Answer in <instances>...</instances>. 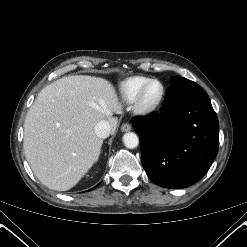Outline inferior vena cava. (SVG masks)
<instances>
[{
  "mask_svg": "<svg viewBox=\"0 0 247 247\" xmlns=\"http://www.w3.org/2000/svg\"><path fill=\"white\" fill-rule=\"evenodd\" d=\"M94 132L99 138H107L111 132L110 123L107 120H101L96 124Z\"/></svg>",
  "mask_w": 247,
  "mask_h": 247,
  "instance_id": "obj_1",
  "label": "inferior vena cava"
}]
</instances>
